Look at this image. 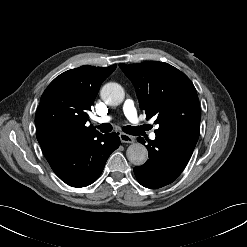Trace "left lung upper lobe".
<instances>
[{"instance_id":"5c2ea615","label":"left lung upper lobe","mask_w":247,"mask_h":247,"mask_svg":"<svg viewBox=\"0 0 247 247\" xmlns=\"http://www.w3.org/2000/svg\"><path fill=\"white\" fill-rule=\"evenodd\" d=\"M136 88L146 118H156V135L198 141L201 112L196 89L181 71L164 62L119 64Z\"/></svg>"}]
</instances>
